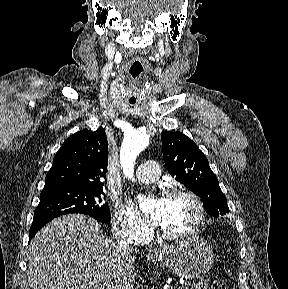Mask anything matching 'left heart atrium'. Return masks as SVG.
Wrapping results in <instances>:
<instances>
[{
  "label": "left heart atrium",
  "mask_w": 288,
  "mask_h": 289,
  "mask_svg": "<svg viewBox=\"0 0 288 289\" xmlns=\"http://www.w3.org/2000/svg\"><path fill=\"white\" fill-rule=\"evenodd\" d=\"M132 208H133V205H132ZM151 219L156 222V223H159L160 221V209L159 208H156L152 214H151Z\"/></svg>",
  "instance_id": "left-heart-atrium-1"
}]
</instances>
